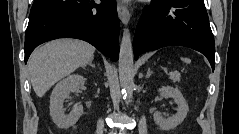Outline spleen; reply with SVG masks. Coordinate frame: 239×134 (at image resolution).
Here are the masks:
<instances>
[{
	"label": "spleen",
	"mask_w": 239,
	"mask_h": 134,
	"mask_svg": "<svg viewBox=\"0 0 239 134\" xmlns=\"http://www.w3.org/2000/svg\"><path fill=\"white\" fill-rule=\"evenodd\" d=\"M182 61L189 64L190 63V59L189 58H182Z\"/></svg>",
	"instance_id": "1"
}]
</instances>
